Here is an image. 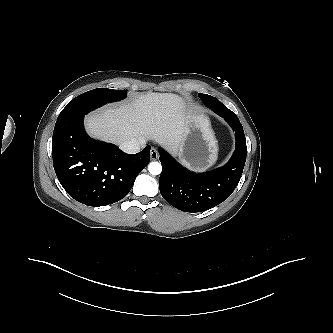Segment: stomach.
Segmentation results:
<instances>
[{
	"label": "stomach",
	"instance_id": "obj_1",
	"mask_svg": "<svg viewBox=\"0 0 333 333\" xmlns=\"http://www.w3.org/2000/svg\"><path fill=\"white\" fill-rule=\"evenodd\" d=\"M177 155L186 166L199 171L215 164L218 145L210 121L205 115L189 114Z\"/></svg>",
	"mask_w": 333,
	"mask_h": 333
}]
</instances>
